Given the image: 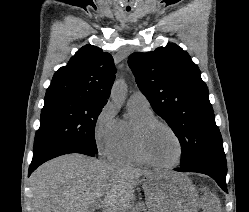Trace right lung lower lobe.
Instances as JSON below:
<instances>
[{"label": "right lung lower lobe", "mask_w": 249, "mask_h": 212, "mask_svg": "<svg viewBox=\"0 0 249 212\" xmlns=\"http://www.w3.org/2000/svg\"><path fill=\"white\" fill-rule=\"evenodd\" d=\"M68 153H81L85 154V150H83L79 145L74 143H57L42 147L36 151H34L33 159L29 167L28 176L42 163L55 158L60 155L68 154ZM86 155V154H85Z\"/></svg>", "instance_id": "obj_1"}]
</instances>
